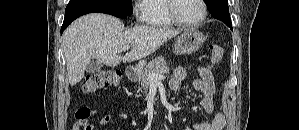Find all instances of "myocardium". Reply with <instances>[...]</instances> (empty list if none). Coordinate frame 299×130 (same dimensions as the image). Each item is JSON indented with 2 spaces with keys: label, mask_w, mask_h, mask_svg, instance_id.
Wrapping results in <instances>:
<instances>
[{
  "label": "myocardium",
  "mask_w": 299,
  "mask_h": 130,
  "mask_svg": "<svg viewBox=\"0 0 299 130\" xmlns=\"http://www.w3.org/2000/svg\"><path fill=\"white\" fill-rule=\"evenodd\" d=\"M175 1L176 0H167L168 15L175 24L183 27H195L200 25L205 20L207 16V6L204 0H198L202 8V13L200 17L194 21H184L178 17L175 12Z\"/></svg>",
  "instance_id": "myocardium-1"
}]
</instances>
